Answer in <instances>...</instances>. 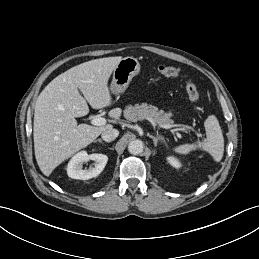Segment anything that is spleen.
I'll use <instances>...</instances> for the list:
<instances>
[{"mask_svg": "<svg viewBox=\"0 0 259 259\" xmlns=\"http://www.w3.org/2000/svg\"><path fill=\"white\" fill-rule=\"evenodd\" d=\"M207 141L197 144H183L174 149L178 154L187 155L191 151L201 148L214 158L215 161H220L224 152V138L218 121L214 116H210L205 122Z\"/></svg>", "mask_w": 259, "mask_h": 259, "instance_id": "1", "label": "spleen"}]
</instances>
